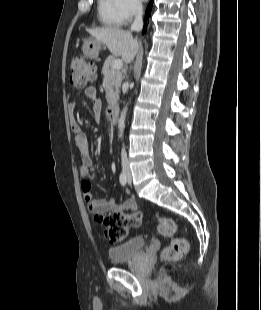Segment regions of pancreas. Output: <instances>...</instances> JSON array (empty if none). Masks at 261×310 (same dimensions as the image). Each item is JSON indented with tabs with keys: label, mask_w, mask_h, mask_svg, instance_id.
I'll list each match as a JSON object with an SVG mask.
<instances>
[{
	"label": "pancreas",
	"mask_w": 261,
	"mask_h": 310,
	"mask_svg": "<svg viewBox=\"0 0 261 310\" xmlns=\"http://www.w3.org/2000/svg\"><path fill=\"white\" fill-rule=\"evenodd\" d=\"M115 58L109 56L102 68L103 84L106 91L107 102L112 105L117 102L119 98V88L123 80V75L119 69L113 68Z\"/></svg>",
	"instance_id": "1"
}]
</instances>
